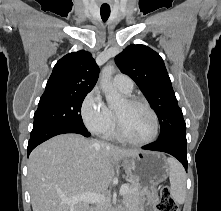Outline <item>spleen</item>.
I'll use <instances>...</instances> for the list:
<instances>
[{
  "label": "spleen",
  "mask_w": 221,
  "mask_h": 211,
  "mask_svg": "<svg viewBox=\"0 0 221 211\" xmlns=\"http://www.w3.org/2000/svg\"><path fill=\"white\" fill-rule=\"evenodd\" d=\"M167 163L169 164L171 196L177 204H183L186 198V173L177 160L168 158Z\"/></svg>",
  "instance_id": "obj_1"
}]
</instances>
